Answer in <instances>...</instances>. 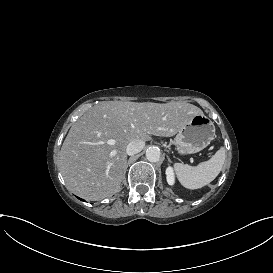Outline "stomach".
<instances>
[{
	"label": "stomach",
	"mask_w": 273,
	"mask_h": 273,
	"mask_svg": "<svg viewBox=\"0 0 273 273\" xmlns=\"http://www.w3.org/2000/svg\"><path fill=\"white\" fill-rule=\"evenodd\" d=\"M214 137L213 122L204 114H197L177 132L174 144L181 153L192 154L206 148Z\"/></svg>",
	"instance_id": "1"
}]
</instances>
